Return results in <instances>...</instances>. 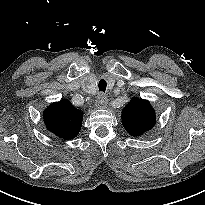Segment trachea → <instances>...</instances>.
Returning a JSON list of instances; mask_svg holds the SVG:
<instances>
[{
    "label": "trachea",
    "mask_w": 205,
    "mask_h": 205,
    "mask_svg": "<svg viewBox=\"0 0 205 205\" xmlns=\"http://www.w3.org/2000/svg\"><path fill=\"white\" fill-rule=\"evenodd\" d=\"M106 86H107V83H106V81H105L104 79H101V80L98 82L99 91L105 92Z\"/></svg>",
    "instance_id": "3493384b"
}]
</instances>
